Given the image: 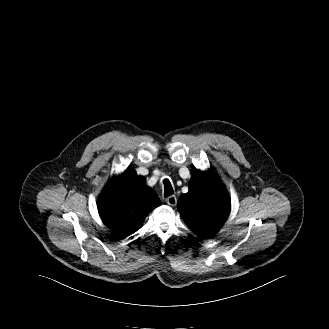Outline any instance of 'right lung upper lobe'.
Instances as JSON below:
<instances>
[{
    "instance_id": "obj_1",
    "label": "right lung upper lobe",
    "mask_w": 329,
    "mask_h": 329,
    "mask_svg": "<svg viewBox=\"0 0 329 329\" xmlns=\"http://www.w3.org/2000/svg\"><path fill=\"white\" fill-rule=\"evenodd\" d=\"M160 205L145 179L131 168L113 177L98 200V211L105 225L126 238L136 232L148 213Z\"/></svg>"
}]
</instances>
